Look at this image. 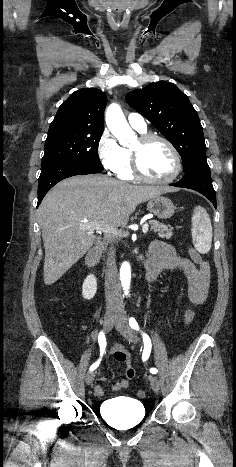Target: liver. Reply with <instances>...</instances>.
Listing matches in <instances>:
<instances>
[{
  "label": "liver",
  "instance_id": "1",
  "mask_svg": "<svg viewBox=\"0 0 236 467\" xmlns=\"http://www.w3.org/2000/svg\"><path fill=\"white\" fill-rule=\"evenodd\" d=\"M176 190L131 185L104 175L73 176L59 182L38 209L45 248L44 283H55L92 247L94 224L125 226L138 204Z\"/></svg>",
  "mask_w": 236,
  "mask_h": 467
}]
</instances>
